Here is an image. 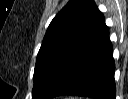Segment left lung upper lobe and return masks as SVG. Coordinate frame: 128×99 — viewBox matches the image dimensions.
Segmentation results:
<instances>
[{
  "label": "left lung upper lobe",
  "instance_id": "5c2ea615",
  "mask_svg": "<svg viewBox=\"0 0 128 99\" xmlns=\"http://www.w3.org/2000/svg\"><path fill=\"white\" fill-rule=\"evenodd\" d=\"M93 0H70L54 17L44 36L34 70L32 99H43L58 69L103 20Z\"/></svg>",
  "mask_w": 128,
  "mask_h": 99
}]
</instances>
